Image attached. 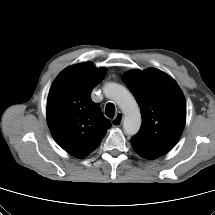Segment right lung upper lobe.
Wrapping results in <instances>:
<instances>
[{
  "label": "right lung upper lobe",
  "instance_id": "right-lung-upper-lobe-1",
  "mask_svg": "<svg viewBox=\"0 0 215 215\" xmlns=\"http://www.w3.org/2000/svg\"><path fill=\"white\" fill-rule=\"evenodd\" d=\"M105 75V68L96 69L85 62L63 70L51 86L47 99L51 134L61 148L75 157L90 154L112 126L90 97Z\"/></svg>",
  "mask_w": 215,
  "mask_h": 215
}]
</instances>
